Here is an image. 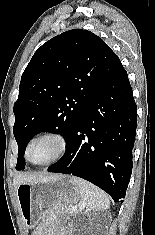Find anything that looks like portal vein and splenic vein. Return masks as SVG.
Returning a JSON list of instances; mask_svg holds the SVG:
<instances>
[{"mask_svg": "<svg viewBox=\"0 0 155 235\" xmlns=\"http://www.w3.org/2000/svg\"><path fill=\"white\" fill-rule=\"evenodd\" d=\"M79 209H82V207H79ZM71 210H72V212H76L78 210V207L72 206Z\"/></svg>", "mask_w": 155, "mask_h": 235, "instance_id": "18ae733b", "label": "portal vein and splenic vein"}]
</instances>
